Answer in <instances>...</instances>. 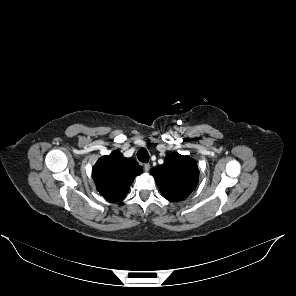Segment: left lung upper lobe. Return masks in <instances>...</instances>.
Wrapping results in <instances>:
<instances>
[{
	"mask_svg": "<svg viewBox=\"0 0 296 296\" xmlns=\"http://www.w3.org/2000/svg\"><path fill=\"white\" fill-rule=\"evenodd\" d=\"M161 194L169 201L177 202L191 194L198 183L199 170L189 156L177 152L168 155L162 165L150 170Z\"/></svg>",
	"mask_w": 296,
	"mask_h": 296,
	"instance_id": "left-lung-upper-lobe-1",
	"label": "left lung upper lobe"
}]
</instances>
